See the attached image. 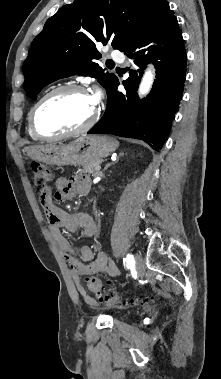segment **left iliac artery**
I'll use <instances>...</instances> for the list:
<instances>
[{
	"instance_id": "44dca946",
	"label": "left iliac artery",
	"mask_w": 221,
	"mask_h": 379,
	"mask_svg": "<svg viewBox=\"0 0 221 379\" xmlns=\"http://www.w3.org/2000/svg\"><path fill=\"white\" fill-rule=\"evenodd\" d=\"M125 263H126L127 268L133 267L135 265L134 256L132 254H127V256L125 258Z\"/></svg>"
}]
</instances>
